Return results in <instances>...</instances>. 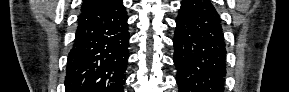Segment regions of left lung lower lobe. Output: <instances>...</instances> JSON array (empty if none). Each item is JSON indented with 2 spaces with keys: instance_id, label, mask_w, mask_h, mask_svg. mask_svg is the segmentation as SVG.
<instances>
[{
  "instance_id": "1",
  "label": "left lung lower lobe",
  "mask_w": 289,
  "mask_h": 92,
  "mask_svg": "<svg viewBox=\"0 0 289 92\" xmlns=\"http://www.w3.org/2000/svg\"><path fill=\"white\" fill-rule=\"evenodd\" d=\"M176 24L179 92H223L226 49L215 7L210 0H183Z\"/></svg>"
}]
</instances>
